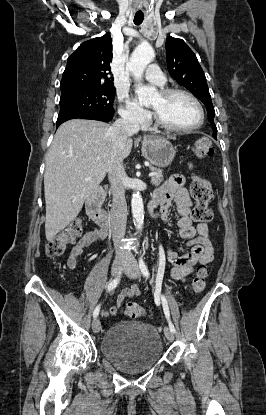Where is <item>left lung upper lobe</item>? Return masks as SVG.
<instances>
[{"mask_svg": "<svg viewBox=\"0 0 266 415\" xmlns=\"http://www.w3.org/2000/svg\"><path fill=\"white\" fill-rule=\"evenodd\" d=\"M166 59L171 76L206 105L208 118L214 125V107L205 74L196 55L182 39L168 37L166 39ZM213 130L217 131L215 125ZM216 135L213 133L214 138Z\"/></svg>", "mask_w": 266, "mask_h": 415, "instance_id": "left-lung-upper-lobe-1", "label": "left lung upper lobe"}]
</instances>
